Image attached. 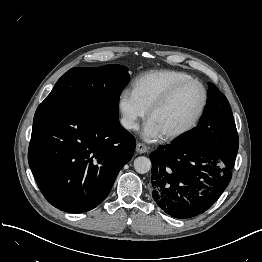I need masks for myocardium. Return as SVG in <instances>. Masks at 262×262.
<instances>
[{
  "label": "myocardium",
  "instance_id": "myocardium-1",
  "mask_svg": "<svg viewBox=\"0 0 262 262\" xmlns=\"http://www.w3.org/2000/svg\"><path fill=\"white\" fill-rule=\"evenodd\" d=\"M189 85H197L200 87L201 91H202V98H201V102L200 105L196 111V113L194 114V116L192 117V119L189 121V123L187 125H185L183 128L172 132V133H168V134H164L163 138L165 140H176L179 139L181 137H184L185 135H187L188 133H190L198 124V122L200 121L203 112L205 110L206 104H207V98H208V93H207V89L205 88V86L198 80L196 79H188L182 82L177 83L176 85H174L170 90H168L158 101H156L148 110V118L151 119L152 116L158 112L159 110H161L163 107H165L171 100L172 98L184 87L189 86Z\"/></svg>",
  "mask_w": 262,
  "mask_h": 262
}]
</instances>
